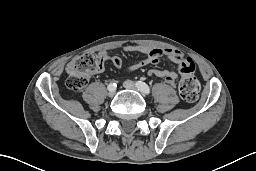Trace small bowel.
I'll use <instances>...</instances> for the list:
<instances>
[{"label": "small bowel", "instance_id": "1", "mask_svg": "<svg viewBox=\"0 0 256 171\" xmlns=\"http://www.w3.org/2000/svg\"><path fill=\"white\" fill-rule=\"evenodd\" d=\"M124 51L126 52H141L144 54V57L135 62L133 65L128 67L127 71H133L144 67L149 64H158L161 57H166L170 62L179 66L180 61L183 59V54L172 48H161V47H149L143 45H126L123 47ZM100 58L103 61V65L98 71H102L104 67V63L106 61H110L114 66L121 68L122 61L121 58L117 55H108L107 52L101 51L98 53ZM150 76H154L160 78L170 86H175L176 81L178 79L179 73L175 68L170 70H158L152 69L148 72Z\"/></svg>", "mask_w": 256, "mask_h": 171}]
</instances>
